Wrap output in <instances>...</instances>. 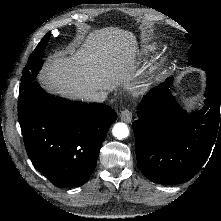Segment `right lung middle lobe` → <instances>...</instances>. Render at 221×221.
<instances>
[{
	"label": "right lung middle lobe",
	"mask_w": 221,
	"mask_h": 221,
	"mask_svg": "<svg viewBox=\"0 0 221 221\" xmlns=\"http://www.w3.org/2000/svg\"><path fill=\"white\" fill-rule=\"evenodd\" d=\"M50 35V33H47L39 42L33 53L30 55L29 60L23 70L20 91L25 89L31 82H33V77L36 76L38 71L40 70L43 63V59L41 58L46 44L50 38Z\"/></svg>",
	"instance_id": "obj_1"
}]
</instances>
